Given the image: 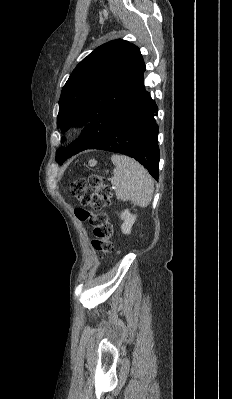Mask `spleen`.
I'll return each mask as SVG.
<instances>
[{
	"label": "spleen",
	"instance_id": "3e777b00",
	"mask_svg": "<svg viewBox=\"0 0 232 399\" xmlns=\"http://www.w3.org/2000/svg\"><path fill=\"white\" fill-rule=\"evenodd\" d=\"M115 170L111 184L117 200L131 201L140 207L149 205L154 194V182L147 170L127 156H112Z\"/></svg>",
	"mask_w": 232,
	"mask_h": 399
}]
</instances>
